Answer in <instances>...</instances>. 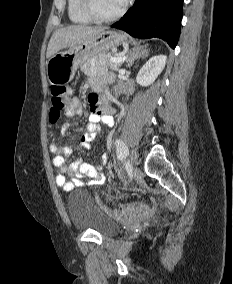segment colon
Masks as SVG:
<instances>
[{"label": "colon", "instance_id": "colon-1", "mask_svg": "<svg viewBox=\"0 0 233 284\" xmlns=\"http://www.w3.org/2000/svg\"><path fill=\"white\" fill-rule=\"evenodd\" d=\"M71 89L64 85H53L51 87V109L50 122L56 123L61 112L68 106L71 99ZM97 205L106 213L120 219H135L145 216L149 208L144 202H136L110 209L99 197L95 196Z\"/></svg>", "mask_w": 233, "mask_h": 284}]
</instances>
